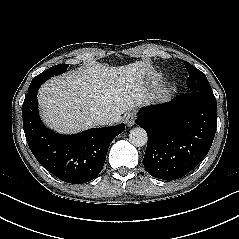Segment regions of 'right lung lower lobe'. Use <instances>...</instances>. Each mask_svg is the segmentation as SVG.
Returning a JSON list of instances; mask_svg holds the SVG:
<instances>
[{
  "label": "right lung lower lobe",
  "mask_w": 239,
  "mask_h": 239,
  "mask_svg": "<svg viewBox=\"0 0 239 239\" xmlns=\"http://www.w3.org/2000/svg\"><path fill=\"white\" fill-rule=\"evenodd\" d=\"M43 78H34L22 106L23 128L37 161L59 179L82 184L102 170L108 147L124 124L94 128L76 135H59L46 128L38 114L37 92Z\"/></svg>",
  "instance_id": "98d812e1"
}]
</instances>
